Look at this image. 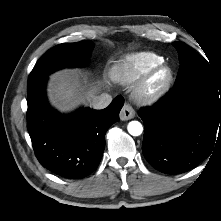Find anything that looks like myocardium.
<instances>
[{
	"label": "myocardium",
	"instance_id": "f54148a6",
	"mask_svg": "<svg viewBox=\"0 0 221 221\" xmlns=\"http://www.w3.org/2000/svg\"><path fill=\"white\" fill-rule=\"evenodd\" d=\"M161 71H166L167 77L160 86L153 88V79ZM173 81L174 71L172 67L166 62H162L149 69L142 76L134 89V97L141 104H153L166 95V93L170 90Z\"/></svg>",
	"mask_w": 221,
	"mask_h": 221
}]
</instances>
